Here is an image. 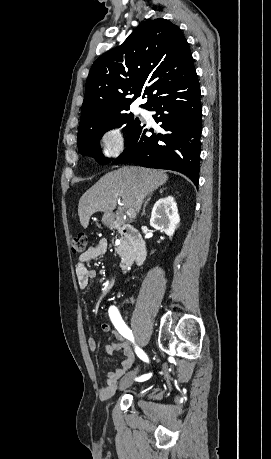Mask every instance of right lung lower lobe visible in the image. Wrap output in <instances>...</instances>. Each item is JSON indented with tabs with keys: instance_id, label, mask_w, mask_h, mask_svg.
I'll use <instances>...</instances> for the list:
<instances>
[{
	"instance_id": "obj_1",
	"label": "right lung lower lobe",
	"mask_w": 271,
	"mask_h": 459,
	"mask_svg": "<svg viewBox=\"0 0 271 459\" xmlns=\"http://www.w3.org/2000/svg\"><path fill=\"white\" fill-rule=\"evenodd\" d=\"M156 111L160 129L152 135L145 124L127 140L124 152L112 164L133 162L149 168L181 172L198 186L202 132L200 85L196 72L179 80L147 102ZM110 163V162H109Z\"/></svg>"
}]
</instances>
